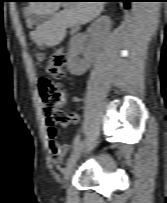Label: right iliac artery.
Instances as JSON below:
<instances>
[{"instance_id":"82829eb1","label":"right iliac artery","mask_w":167,"mask_h":203,"mask_svg":"<svg viewBox=\"0 0 167 203\" xmlns=\"http://www.w3.org/2000/svg\"><path fill=\"white\" fill-rule=\"evenodd\" d=\"M79 142H80V135H78V136L74 139L72 148L75 149V148L77 147V145L79 144Z\"/></svg>"}]
</instances>
